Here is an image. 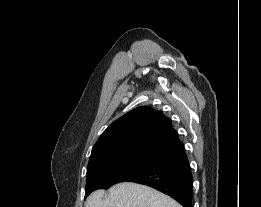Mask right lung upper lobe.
I'll return each instance as SVG.
<instances>
[{
  "mask_svg": "<svg viewBox=\"0 0 261 207\" xmlns=\"http://www.w3.org/2000/svg\"><path fill=\"white\" fill-rule=\"evenodd\" d=\"M183 150L171 120L142 106L107 127L93 146L88 165L132 156L160 161Z\"/></svg>",
  "mask_w": 261,
  "mask_h": 207,
  "instance_id": "cb5924a9",
  "label": "right lung upper lobe"
}]
</instances>
